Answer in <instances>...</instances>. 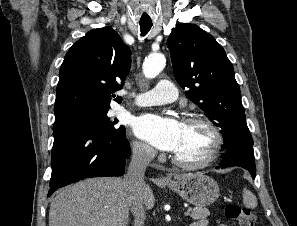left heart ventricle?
<instances>
[{"label": "left heart ventricle", "mask_w": 297, "mask_h": 226, "mask_svg": "<svg viewBox=\"0 0 297 226\" xmlns=\"http://www.w3.org/2000/svg\"><path fill=\"white\" fill-rule=\"evenodd\" d=\"M213 143V135L201 123H182L178 147L174 155L185 161L204 158Z\"/></svg>", "instance_id": "left-heart-ventricle-1"}]
</instances>
